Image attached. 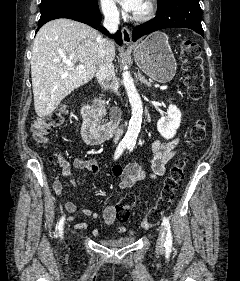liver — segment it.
<instances>
[{
    "instance_id": "1",
    "label": "liver",
    "mask_w": 240,
    "mask_h": 281,
    "mask_svg": "<svg viewBox=\"0 0 240 281\" xmlns=\"http://www.w3.org/2000/svg\"><path fill=\"white\" fill-rule=\"evenodd\" d=\"M102 42L98 31L70 19L50 21L38 31L32 48L31 76L34 107L39 117L52 114L69 93L94 77ZM107 48L112 62L114 43ZM67 62L80 63L85 68L72 69Z\"/></svg>"
}]
</instances>
